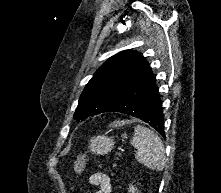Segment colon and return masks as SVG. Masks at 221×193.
<instances>
[{
	"instance_id": "5ec220e1",
	"label": "colon",
	"mask_w": 221,
	"mask_h": 193,
	"mask_svg": "<svg viewBox=\"0 0 221 193\" xmlns=\"http://www.w3.org/2000/svg\"><path fill=\"white\" fill-rule=\"evenodd\" d=\"M86 160H87L86 154H81L77 158L75 165H74V171L77 176L81 175V173L83 172L85 164H86Z\"/></svg>"
}]
</instances>
